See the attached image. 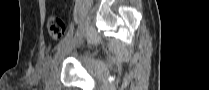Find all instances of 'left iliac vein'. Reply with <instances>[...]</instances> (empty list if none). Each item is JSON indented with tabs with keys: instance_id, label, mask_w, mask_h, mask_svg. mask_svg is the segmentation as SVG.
Listing matches in <instances>:
<instances>
[{
	"instance_id": "obj_1",
	"label": "left iliac vein",
	"mask_w": 209,
	"mask_h": 90,
	"mask_svg": "<svg viewBox=\"0 0 209 90\" xmlns=\"http://www.w3.org/2000/svg\"><path fill=\"white\" fill-rule=\"evenodd\" d=\"M72 48V41L61 45L59 50H57L52 62H51V68H56L58 65L63 61L65 56L71 51Z\"/></svg>"
}]
</instances>
